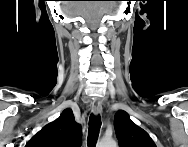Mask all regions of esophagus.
Listing matches in <instances>:
<instances>
[{
	"label": "esophagus",
	"instance_id": "1",
	"mask_svg": "<svg viewBox=\"0 0 188 147\" xmlns=\"http://www.w3.org/2000/svg\"><path fill=\"white\" fill-rule=\"evenodd\" d=\"M92 112L94 115H99L102 113V104L99 100H95L92 103Z\"/></svg>",
	"mask_w": 188,
	"mask_h": 147
}]
</instances>
